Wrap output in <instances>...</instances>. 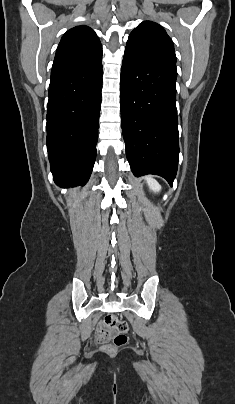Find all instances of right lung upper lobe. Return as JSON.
Returning <instances> with one entry per match:
<instances>
[{
	"label": "right lung upper lobe",
	"instance_id": "1",
	"mask_svg": "<svg viewBox=\"0 0 235 404\" xmlns=\"http://www.w3.org/2000/svg\"><path fill=\"white\" fill-rule=\"evenodd\" d=\"M101 58L102 45L96 33L87 26H76L61 38L52 69L90 63Z\"/></svg>",
	"mask_w": 235,
	"mask_h": 404
}]
</instances>
